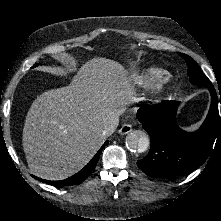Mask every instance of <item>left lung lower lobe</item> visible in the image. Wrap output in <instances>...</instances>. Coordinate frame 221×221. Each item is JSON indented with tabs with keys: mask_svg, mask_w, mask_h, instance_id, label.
Here are the masks:
<instances>
[{
	"mask_svg": "<svg viewBox=\"0 0 221 221\" xmlns=\"http://www.w3.org/2000/svg\"><path fill=\"white\" fill-rule=\"evenodd\" d=\"M208 89L211 94L210 110L200 129L194 133L183 131L176 123L179 102L163 101L143 106L137 111L139 121L151 138L149 153L137 162L146 175L173 178L194 171L206 161L215 139H221L218 112L221 92L216 93L213 85Z\"/></svg>",
	"mask_w": 221,
	"mask_h": 221,
	"instance_id": "1",
	"label": "left lung lower lobe"
}]
</instances>
